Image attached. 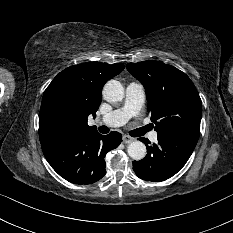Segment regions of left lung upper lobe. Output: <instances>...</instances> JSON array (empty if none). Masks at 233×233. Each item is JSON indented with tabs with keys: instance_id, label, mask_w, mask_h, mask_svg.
I'll use <instances>...</instances> for the list:
<instances>
[{
	"instance_id": "left-lung-upper-lobe-1",
	"label": "left lung upper lobe",
	"mask_w": 233,
	"mask_h": 233,
	"mask_svg": "<svg viewBox=\"0 0 233 233\" xmlns=\"http://www.w3.org/2000/svg\"><path fill=\"white\" fill-rule=\"evenodd\" d=\"M126 68L146 90L158 136L200 135L201 99L185 73L158 61L128 63Z\"/></svg>"
}]
</instances>
